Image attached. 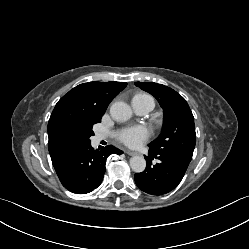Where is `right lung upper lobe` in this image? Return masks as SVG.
<instances>
[{
	"mask_svg": "<svg viewBox=\"0 0 249 249\" xmlns=\"http://www.w3.org/2000/svg\"><path fill=\"white\" fill-rule=\"evenodd\" d=\"M126 82H88L65 94L56 104L49 122V153L54 168L82 147V137L101 122L109 103Z\"/></svg>",
	"mask_w": 249,
	"mask_h": 249,
	"instance_id": "obj_1",
	"label": "right lung upper lobe"
}]
</instances>
